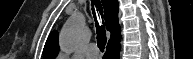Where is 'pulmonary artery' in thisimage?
Returning a JSON list of instances; mask_svg holds the SVG:
<instances>
[{"mask_svg": "<svg viewBox=\"0 0 193 59\" xmlns=\"http://www.w3.org/2000/svg\"><path fill=\"white\" fill-rule=\"evenodd\" d=\"M85 55L87 59H95L97 57V50L94 43L88 46V49Z\"/></svg>", "mask_w": 193, "mask_h": 59, "instance_id": "pulmonary-artery-1", "label": "pulmonary artery"}]
</instances>
